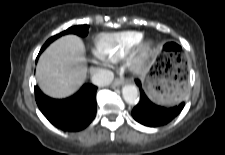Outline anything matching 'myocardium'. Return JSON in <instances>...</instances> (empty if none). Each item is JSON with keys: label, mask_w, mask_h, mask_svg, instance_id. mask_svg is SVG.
I'll return each mask as SVG.
<instances>
[{"label": "myocardium", "mask_w": 225, "mask_h": 155, "mask_svg": "<svg viewBox=\"0 0 225 155\" xmlns=\"http://www.w3.org/2000/svg\"><path fill=\"white\" fill-rule=\"evenodd\" d=\"M155 47L153 39H142L128 61L129 68L134 72H141L153 56Z\"/></svg>", "instance_id": "myocardium-1"}]
</instances>
